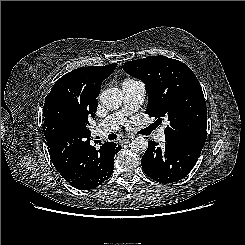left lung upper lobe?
<instances>
[{"label":"left lung upper lobe","instance_id":"left-lung-upper-lobe-1","mask_svg":"<svg viewBox=\"0 0 245 245\" xmlns=\"http://www.w3.org/2000/svg\"><path fill=\"white\" fill-rule=\"evenodd\" d=\"M129 75L142 80L149 103L146 113L158 123L165 119L169 141L207 138V109L202 88L192 70L181 61L166 56H150L122 63Z\"/></svg>","mask_w":245,"mask_h":245}]
</instances>
